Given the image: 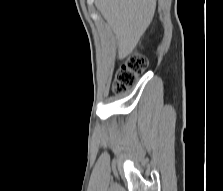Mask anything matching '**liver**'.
Returning a JSON list of instances; mask_svg holds the SVG:
<instances>
[{"mask_svg":"<svg viewBox=\"0 0 223 191\" xmlns=\"http://www.w3.org/2000/svg\"><path fill=\"white\" fill-rule=\"evenodd\" d=\"M118 39V58L130 54L150 25L156 0H95Z\"/></svg>","mask_w":223,"mask_h":191,"instance_id":"obj_1","label":"liver"}]
</instances>
